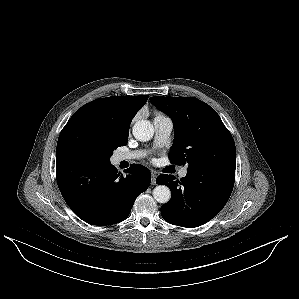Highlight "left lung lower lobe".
<instances>
[{"instance_id": "0a47b994", "label": "left lung lower lobe", "mask_w": 299, "mask_h": 299, "mask_svg": "<svg viewBox=\"0 0 299 299\" xmlns=\"http://www.w3.org/2000/svg\"><path fill=\"white\" fill-rule=\"evenodd\" d=\"M173 175L162 174L158 184L168 186L170 201L161 207L167 222L194 228L215 217L228 201L235 181V163H206L187 170V175L174 181Z\"/></svg>"}]
</instances>
